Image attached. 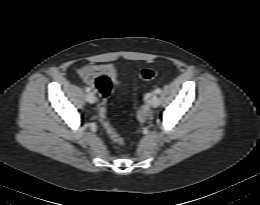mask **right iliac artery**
<instances>
[{"label": "right iliac artery", "mask_w": 260, "mask_h": 205, "mask_svg": "<svg viewBox=\"0 0 260 205\" xmlns=\"http://www.w3.org/2000/svg\"><path fill=\"white\" fill-rule=\"evenodd\" d=\"M85 90H86V92H90V88H88V87L85 88Z\"/></svg>", "instance_id": "82829eb1"}]
</instances>
